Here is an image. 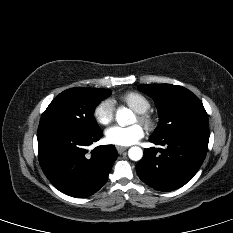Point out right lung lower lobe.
<instances>
[{
    "label": "right lung lower lobe",
    "instance_id": "obj_1",
    "mask_svg": "<svg viewBox=\"0 0 233 233\" xmlns=\"http://www.w3.org/2000/svg\"><path fill=\"white\" fill-rule=\"evenodd\" d=\"M102 131L88 133L51 127L38 130V157L48 180L72 197H88L107 181L118 153L113 145L87 146L98 141Z\"/></svg>",
    "mask_w": 233,
    "mask_h": 233
}]
</instances>
